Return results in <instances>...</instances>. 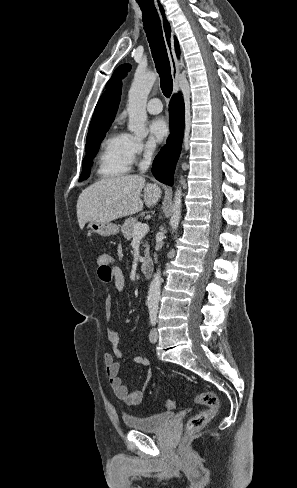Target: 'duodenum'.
<instances>
[{
    "instance_id": "1",
    "label": "duodenum",
    "mask_w": 297,
    "mask_h": 488,
    "mask_svg": "<svg viewBox=\"0 0 297 488\" xmlns=\"http://www.w3.org/2000/svg\"><path fill=\"white\" fill-rule=\"evenodd\" d=\"M141 271L146 277L151 276L153 272V263L150 259H147L142 263Z\"/></svg>"
}]
</instances>
